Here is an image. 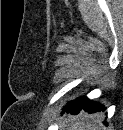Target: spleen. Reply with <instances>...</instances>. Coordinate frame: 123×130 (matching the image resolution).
Here are the masks:
<instances>
[{
  "mask_svg": "<svg viewBox=\"0 0 123 130\" xmlns=\"http://www.w3.org/2000/svg\"><path fill=\"white\" fill-rule=\"evenodd\" d=\"M68 130H101V127L96 123L90 122L86 115H82L77 122L69 126Z\"/></svg>",
  "mask_w": 123,
  "mask_h": 130,
  "instance_id": "3e777b00",
  "label": "spleen"
}]
</instances>
